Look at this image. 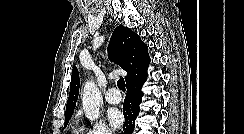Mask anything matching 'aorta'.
I'll return each mask as SVG.
<instances>
[{
  "mask_svg": "<svg viewBox=\"0 0 244 134\" xmlns=\"http://www.w3.org/2000/svg\"><path fill=\"white\" fill-rule=\"evenodd\" d=\"M102 102V96L99 88L93 81L86 82L83 95L82 105L85 116L91 120H97L100 114V104Z\"/></svg>",
  "mask_w": 244,
  "mask_h": 134,
  "instance_id": "762f6f07",
  "label": "aorta"
}]
</instances>
